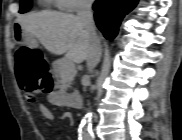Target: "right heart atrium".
Instances as JSON below:
<instances>
[{"instance_id":"right-heart-atrium-1","label":"right heart atrium","mask_w":182,"mask_h":140,"mask_svg":"<svg viewBox=\"0 0 182 140\" xmlns=\"http://www.w3.org/2000/svg\"><path fill=\"white\" fill-rule=\"evenodd\" d=\"M90 6V0H60L59 5L60 9L71 13L86 11Z\"/></svg>"}]
</instances>
